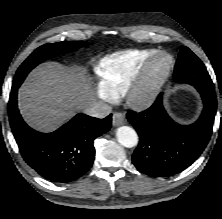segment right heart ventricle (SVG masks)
Wrapping results in <instances>:
<instances>
[{
	"label": "right heart ventricle",
	"mask_w": 222,
	"mask_h": 219,
	"mask_svg": "<svg viewBox=\"0 0 222 219\" xmlns=\"http://www.w3.org/2000/svg\"><path fill=\"white\" fill-rule=\"evenodd\" d=\"M156 52V49H129L101 58L93 66L99 93L107 99L119 97Z\"/></svg>",
	"instance_id": "e07e8e85"
}]
</instances>
